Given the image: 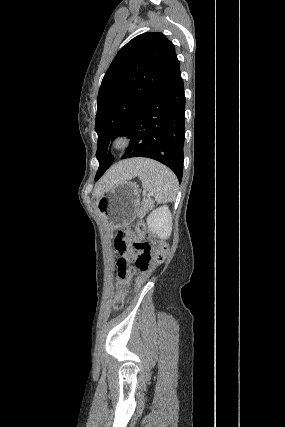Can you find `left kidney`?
Instances as JSON below:
<instances>
[{
	"label": "left kidney",
	"instance_id": "5707ae66",
	"mask_svg": "<svg viewBox=\"0 0 285 427\" xmlns=\"http://www.w3.org/2000/svg\"><path fill=\"white\" fill-rule=\"evenodd\" d=\"M148 228L160 239H168L172 232V215L167 206L153 210L147 217Z\"/></svg>",
	"mask_w": 285,
	"mask_h": 427
}]
</instances>
